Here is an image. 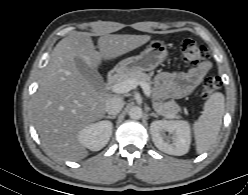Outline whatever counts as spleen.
Returning <instances> with one entry per match:
<instances>
[{
    "label": "spleen",
    "mask_w": 248,
    "mask_h": 195,
    "mask_svg": "<svg viewBox=\"0 0 248 195\" xmlns=\"http://www.w3.org/2000/svg\"><path fill=\"white\" fill-rule=\"evenodd\" d=\"M224 111V95L220 92L213 93L204 104L203 114L193 124L197 153L206 152L215 143Z\"/></svg>",
    "instance_id": "1"
}]
</instances>
